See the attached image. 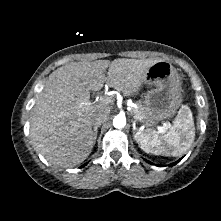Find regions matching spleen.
<instances>
[{
    "label": "spleen",
    "instance_id": "3e777b00",
    "mask_svg": "<svg viewBox=\"0 0 221 221\" xmlns=\"http://www.w3.org/2000/svg\"><path fill=\"white\" fill-rule=\"evenodd\" d=\"M195 138V127L192 112L188 106H182L173 125L165 134L147 129L137 132L135 140L146 153L177 157L186 152Z\"/></svg>",
    "mask_w": 221,
    "mask_h": 221
}]
</instances>
